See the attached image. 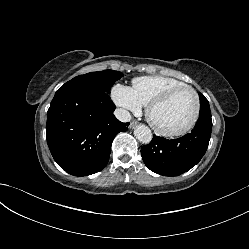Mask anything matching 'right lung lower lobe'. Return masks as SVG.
<instances>
[{
  "label": "right lung lower lobe",
  "instance_id": "98d812e1",
  "mask_svg": "<svg viewBox=\"0 0 249 249\" xmlns=\"http://www.w3.org/2000/svg\"><path fill=\"white\" fill-rule=\"evenodd\" d=\"M115 108L107 93L89 85L67 82L55 93L46 138L63 170L87 176L107 165L114 137L129 126L116 119Z\"/></svg>",
  "mask_w": 249,
  "mask_h": 249
}]
</instances>
